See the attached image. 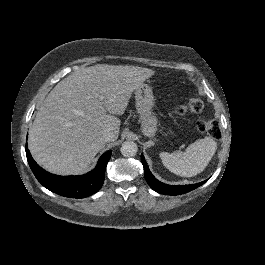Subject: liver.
Wrapping results in <instances>:
<instances>
[{
	"mask_svg": "<svg viewBox=\"0 0 265 265\" xmlns=\"http://www.w3.org/2000/svg\"><path fill=\"white\" fill-rule=\"evenodd\" d=\"M154 71L137 66L98 64L75 70L50 91L29 131L34 160L49 172L80 174L105 147L104 133L115 141L132 92ZM109 112L110 114H107Z\"/></svg>",
	"mask_w": 265,
	"mask_h": 265,
	"instance_id": "1",
	"label": "liver"
}]
</instances>
